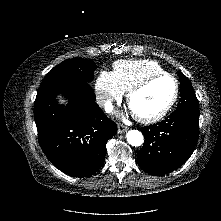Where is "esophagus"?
Wrapping results in <instances>:
<instances>
[{"mask_svg":"<svg viewBox=\"0 0 221 221\" xmlns=\"http://www.w3.org/2000/svg\"><path fill=\"white\" fill-rule=\"evenodd\" d=\"M127 130H128V128L126 126L121 125V124L118 125V133L121 134L123 132H126Z\"/></svg>","mask_w":221,"mask_h":221,"instance_id":"esophagus-1","label":"esophagus"}]
</instances>
